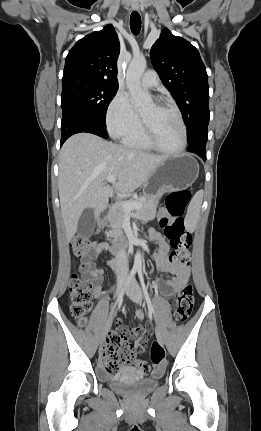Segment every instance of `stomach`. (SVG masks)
I'll list each match as a JSON object with an SVG mask.
<instances>
[{
	"label": "stomach",
	"mask_w": 261,
	"mask_h": 431,
	"mask_svg": "<svg viewBox=\"0 0 261 431\" xmlns=\"http://www.w3.org/2000/svg\"><path fill=\"white\" fill-rule=\"evenodd\" d=\"M198 174L199 165L191 155L168 156L144 182V195L153 198L170 190L186 189L195 182Z\"/></svg>",
	"instance_id": "obj_1"
}]
</instances>
